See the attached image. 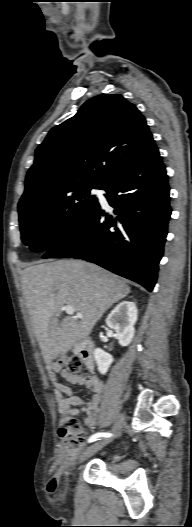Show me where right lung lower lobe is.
<instances>
[{"instance_id":"1","label":"right lung lower lobe","mask_w":192,"mask_h":527,"mask_svg":"<svg viewBox=\"0 0 192 527\" xmlns=\"http://www.w3.org/2000/svg\"><path fill=\"white\" fill-rule=\"evenodd\" d=\"M112 215L97 203L85 222L43 258H80L152 291L171 214L165 166L154 140L102 186Z\"/></svg>"}]
</instances>
